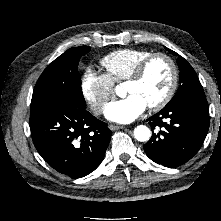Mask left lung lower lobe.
<instances>
[{"label":"left lung lower lobe","instance_id":"0a47b994","mask_svg":"<svg viewBox=\"0 0 221 221\" xmlns=\"http://www.w3.org/2000/svg\"><path fill=\"white\" fill-rule=\"evenodd\" d=\"M147 121L152 130L160 128L143 145L147 156L163 166L178 167L190 160L204 142L209 129L208 103L206 99L185 100L164 107Z\"/></svg>","mask_w":221,"mask_h":221}]
</instances>
